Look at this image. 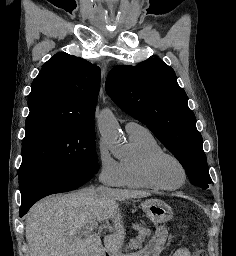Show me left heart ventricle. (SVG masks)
<instances>
[{
	"instance_id": "b2bd125f",
	"label": "left heart ventricle",
	"mask_w": 236,
	"mask_h": 256,
	"mask_svg": "<svg viewBox=\"0 0 236 256\" xmlns=\"http://www.w3.org/2000/svg\"><path fill=\"white\" fill-rule=\"evenodd\" d=\"M161 177L169 184L176 185L183 180V172L180 166L171 159H166L160 166Z\"/></svg>"
}]
</instances>
